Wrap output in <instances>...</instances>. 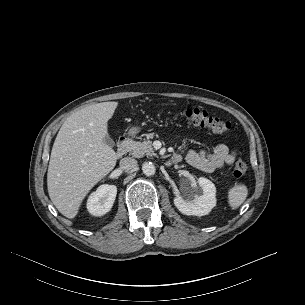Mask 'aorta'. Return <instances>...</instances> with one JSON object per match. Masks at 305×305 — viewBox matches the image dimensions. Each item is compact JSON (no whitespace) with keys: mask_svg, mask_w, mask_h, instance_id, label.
<instances>
[{"mask_svg":"<svg viewBox=\"0 0 305 305\" xmlns=\"http://www.w3.org/2000/svg\"><path fill=\"white\" fill-rule=\"evenodd\" d=\"M142 171L146 176H151L155 174L156 168L152 162H144L142 164Z\"/></svg>","mask_w":305,"mask_h":305,"instance_id":"obj_1","label":"aorta"}]
</instances>
